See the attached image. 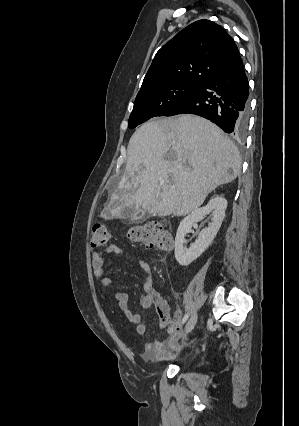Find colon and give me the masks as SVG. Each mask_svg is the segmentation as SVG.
<instances>
[{"label":"colon","mask_w":299,"mask_h":426,"mask_svg":"<svg viewBox=\"0 0 299 426\" xmlns=\"http://www.w3.org/2000/svg\"><path fill=\"white\" fill-rule=\"evenodd\" d=\"M127 236L135 242L159 250H169L173 241L170 233L157 222H150L142 226L131 228ZM111 243L109 241V232L102 223L94 224L91 232V246L95 249L108 251Z\"/></svg>","instance_id":"1"}]
</instances>
